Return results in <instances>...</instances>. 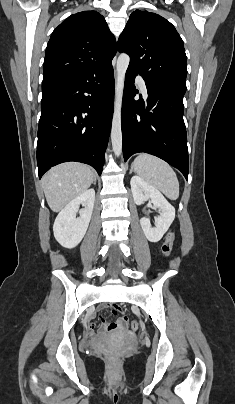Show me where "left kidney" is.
I'll return each instance as SVG.
<instances>
[{
    "mask_svg": "<svg viewBox=\"0 0 235 404\" xmlns=\"http://www.w3.org/2000/svg\"><path fill=\"white\" fill-rule=\"evenodd\" d=\"M134 202L139 205L150 199L153 205L159 209L160 215L155 218V227H151L150 219L143 217L140 220L142 230L150 242H158L167 232L175 218V208L155 187L144 181L139 176H133L130 181Z\"/></svg>",
    "mask_w": 235,
    "mask_h": 404,
    "instance_id": "5707ae66",
    "label": "left kidney"
}]
</instances>
